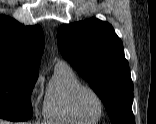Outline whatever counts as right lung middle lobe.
<instances>
[{
    "instance_id": "dd1d6c3e",
    "label": "right lung middle lobe",
    "mask_w": 156,
    "mask_h": 124,
    "mask_svg": "<svg viewBox=\"0 0 156 124\" xmlns=\"http://www.w3.org/2000/svg\"><path fill=\"white\" fill-rule=\"evenodd\" d=\"M38 73L0 67V114L30 119L31 93Z\"/></svg>"
}]
</instances>
